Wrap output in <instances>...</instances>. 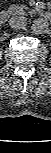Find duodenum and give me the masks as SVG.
<instances>
[{
    "label": "duodenum",
    "mask_w": 51,
    "mask_h": 153,
    "mask_svg": "<svg viewBox=\"0 0 51 153\" xmlns=\"http://www.w3.org/2000/svg\"><path fill=\"white\" fill-rule=\"evenodd\" d=\"M42 18L49 21L51 19V15L48 11H44L41 14ZM9 19V12L7 10L0 11V23L5 24Z\"/></svg>",
    "instance_id": "410a0bca"
}]
</instances>
